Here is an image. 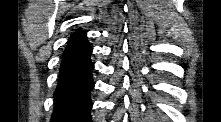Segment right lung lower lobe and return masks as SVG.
I'll return each mask as SVG.
<instances>
[{
	"mask_svg": "<svg viewBox=\"0 0 221 122\" xmlns=\"http://www.w3.org/2000/svg\"><path fill=\"white\" fill-rule=\"evenodd\" d=\"M91 52L85 31L74 32L62 56L51 122H91Z\"/></svg>",
	"mask_w": 221,
	"mask_h": 122,
	"instance_id": "obj_1",
	"label": "right lung lower lobe"
}]
</instances>
